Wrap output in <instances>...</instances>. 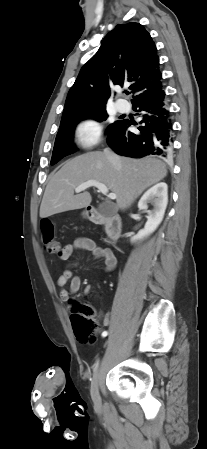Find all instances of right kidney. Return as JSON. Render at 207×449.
I'll list each match as a JSON object with an SVG mask.
<instances>
[{"mask_svg":"<svg viewBox=\"0 0 207 449\" xmlns=\"http://www.w3.org/2000/svg\"><path fill=\"white\" fill-rule=\"evenodd\" d=\"M149 203L154 205V209L148 211L147 222L144 229L131 237L132 243L149 236L162 222L168 204V186L166 183H157L147 190L139 200L138 208L140 210H147ZM137 219H139V217H137Z\"/></svg>","mask_w":207,"mask_h":449,"instance_id":"ca27d5eb","label":"right kidney"}]
</instances>
